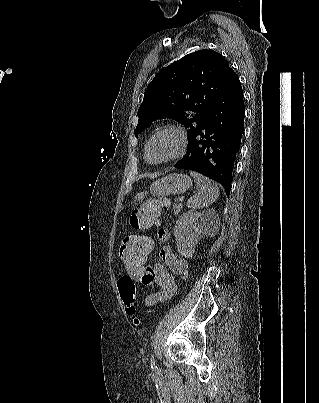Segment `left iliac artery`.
<instances>
[{"label": "left iliac artery", "instance_id": "1", "mask_svg": "<svg viewBox=\"0 0 319 403\" xmlns=\"http://www.w3.org/2000/svg\"><path fill=\"white\" fill-rule=\"evenodd\" d=\"M150 362H151V368H152V369H157V366H156V364H155V359H154V355H153V354H151Z\"/></svg>", "mask_w": 319, "mask_h": 403}]
</instances>
